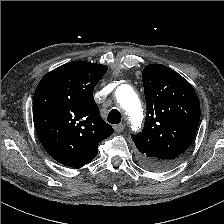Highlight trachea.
I'll return each mask as SVG.
<instances>
[{"label":"trachea","instance_id":"trachea-1","mask_svg":"<svg viewBox=\"0 0 224 224\" xmlns=\"http://www.w3.org/2000/svg\"><path fill=\"white\" fill-rule=\"evenodd\" d=\"M108 122L111 124H119L121 122V114L117 109H112L107 118Z\"/></svg>","mask_w":224,"mask_h":224}]
</instances>
